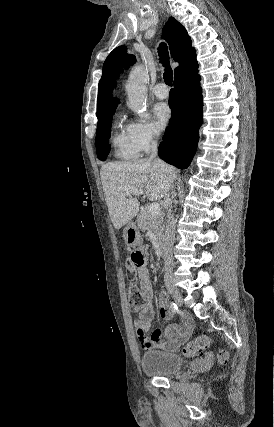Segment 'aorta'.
<instances>
[{
	"instance_id": "obj_1",
	"label": "aorta",
	"mask_w": 274,
	"mask_h": 427,
	"mask_svg": "<svg viewBox=\"0 0 274 427\" xmlns=\"http://www.w3.org/2000/svg\"><path fill=\"white\" fill-rule=\"evenodd\" d=\"M147 79L148 73L145 67L137 65L131 72L126 83L128 96V106L141 118H145L143 113L147 100Z\"/></svg>"
}]
</instances>
